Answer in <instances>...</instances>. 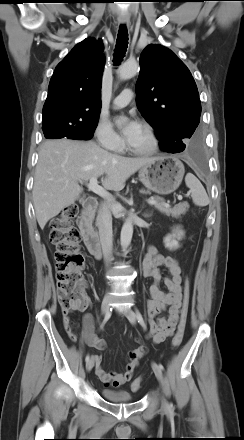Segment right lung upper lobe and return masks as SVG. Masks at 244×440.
I'll return each mask as SVG.
<instances>
[{"label":"right lung upper lobe","instance_id":"cb5924a9","mask_svg":"<svg viewBox=\"0 0 244 440\" xmlns=\"http://www.w3.org/2000/svg\"><path fill=\"white\" fill-rule=\"evenodd\" d=\"M103 43L88 38L77 44L56 67L43 107V122L87 124L99 119Z\"/></svg>","mask_w":244,"mask_h":440}]
</instances>
